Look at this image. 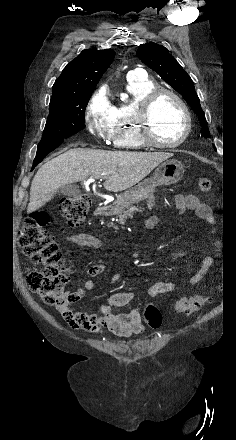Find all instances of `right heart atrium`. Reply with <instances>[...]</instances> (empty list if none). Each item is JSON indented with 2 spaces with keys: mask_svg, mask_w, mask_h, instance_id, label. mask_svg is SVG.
I'll return each instance as SVG.
<instances>
[{
  "mask_svg": "<svg viewBox=\"0 0 236 440\" xmlns=\"http://www.w3.org/2000/svg\"><path fill=\"white\" fill-rule=\"evenodd\" d=\"M114 106L109 100L105 86L99 87L90 97L85 108L86 129L96 139L110 142Z\"/></svg>",
  "mask_w": 236,
  "mask_h": 440,
  "instance_id": "1",
  "label": "right heart atrium"
}]
</instances>
